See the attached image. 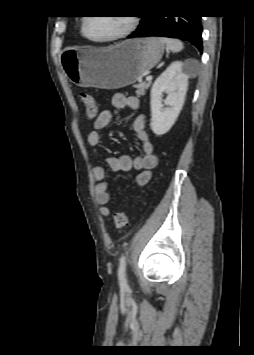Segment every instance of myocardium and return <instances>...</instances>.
I'll return each instance as SVG.
<instances>
[{
	"label": "myocardium",
	"mask_w": 254,
	"mask_h": 355,
	"mask_svg": "<svg viewBox=\"0 0 254 355\" xmlns=\"http://www.w3.org/2000/svg\"><path fill=\"white\" fill-rule=\"evenodd\" d=\"M88 19H89V17H86L83 20V23L81 26V31H82L83 36L86 39H88L94 43H108V42H113V41L123 39V38L127 37L128 35H130L135 30V28L137 27V24H138V17L136 15H130V16H128V19H129L128 25L123 31H121L120 33H118L112 37H109V38L96 39V38L90 37L86 32V26H87Z\"/></svg>",
	"instance_id": "1"
}]
</instances>
